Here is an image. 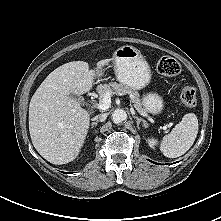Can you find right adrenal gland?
<instances>
[{"mask_svg":"<svg viewBox=\"0 0 221 221\" xmlns=\"http://www.w3.org/2000/svg\"><path fill=\"white\" fill-rule=\"evenodd\" d=\"M97 124H98V122H93V123L91 124V128H93L94 126L96 127Z\"/></svg>","mask_w":221,"mask_h":221,"instance_id":"right-adrenal-gland-1","label":"right adrenal gland"}]
</instances>
